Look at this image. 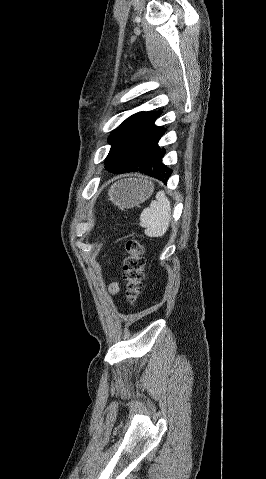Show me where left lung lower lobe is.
<instances>
[{"label": "left lung lower lobe", "instance_id": "left-lung-lower-lobe-1", "mask_svg": "<svg viewBox=\"0 0 266 479\" xmlns=\"http://www.w3.org/2000/svg\"><path fill=\"white\" fill-rule=\"evenodd\" d=\"M165 150L162 148L160 149L157 156L153 159H147L143 161L139 166H135L134 168H129L122 171H115L113 173H126V172H142L148 176L154 177L156 179L161 180L164 183H167L172 170L168 168L163 162L162 158L164 157Z\"/></svg>", "mask_w": 266, "mask_h": 479}]
</instances>
